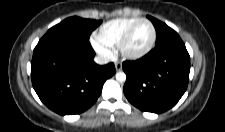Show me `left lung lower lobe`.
Here are the masks:
<instances>
[{"label": "left lung lower lobe", "mask_w": 225, "mask_h": 132, "mask_svg": "<svg viewBox=\"0 0 225 132\" xmlns=\"http://www.w3.org/2000/svg\"><path fill=\"white\" fill-rule=\"evenodd\" d=\"M127 75L123 91L129 102L146 112L173 107L186 91L190 56L181 39L155 46L136 61L123 63Z\"/></svg>", "instance_id": "1"}]
</instances>
